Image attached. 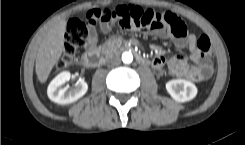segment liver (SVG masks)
<instances>
[{
    "mask_svg": "<svg viewBox=\"0 0 245 145\" xmlns=\"http://www.w3.org/2000/svg\"><path fill=\"white\" fill-rule=\"evenodd\" d=\"M66 21H61L49 29L42 39L36 58V74L45 83L53 66L59 61L64 50Z\"/></svg>",
    "mask_w": 245,
    "mask_h": 145,
    "instance_id": "6515ba94",
    "label": "liver"
}]
</instances>
